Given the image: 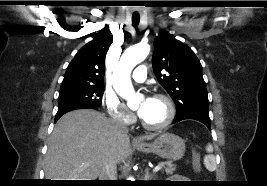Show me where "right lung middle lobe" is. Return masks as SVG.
I'll return each instance as SVG.
<instances>
[{
  "label": "right lung middle lobe",
  "instance_id": "right-lung-middle-lobe-1",
  "mask_svg": "<svg viewBox=\"0 0 267 186\" xmlns=\"http://www.w3.org/2000/svg\"><path fill=\"white\" fill-rule=\"evenodd\" d=\"M104 86L71 85L61 86L58 98L59 109L76 106L101 105Z\"/></svg>",
  "mask_w": 267,
  "mask_h": 186
}]
</instances>
